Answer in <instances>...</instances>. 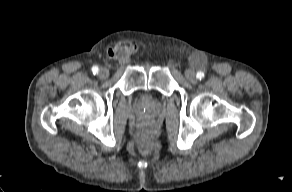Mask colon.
Returning a JSON list of instances; mask_svg holds the SVG:
<instances>
[{
	"label": "colon",
	"instance_id": "obj_1",
	"mask_svg": "<svg viewBox=\"0 0 292 192\" xmlns=\"http://www.w3.org/2000/svg\"><path fill=\"white\" fill-rule=\"evenodd\" d=\"M122 48L127 51L134 50V46L132 44L124 45ZM139 134V150L141 153L146 154L151 150L152 129L148 124H144L140 128Z\"/></svg>",
	"mask_w": 292,
	"mask_h": 192
}]
</instances>
